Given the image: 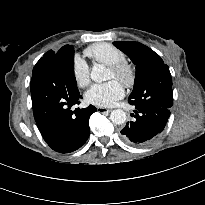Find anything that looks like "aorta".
Wrapping results in <instances>:
<instances>
[{
  "instance_id": "obj_1",
  "label": "aorta",
  "mask_w": 205,
  "mask_h": 205,
  "mask_svg": "<svg viewBox=\"0 0 205 205\" xmlns=\"http://www.w3.org/2000/svg\"><path fill=\"white\" fill-rule=\"evenodd\" d=\"M90 77L94 82H102L108 79L107 69L104 65L96 64L93 66ZM111 121L116 125H121L126 121V113L122 109L113 110L110 114Z\"/></svg>"
}]
</instances>
